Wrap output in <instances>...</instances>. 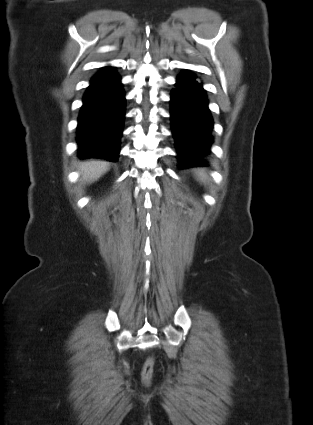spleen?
<instances>
[{
    "instance_id": "3e777b00",
    "label": "spleen",
    "mask_w": 313,
    "mask_h": 425,
    "mask_svg": "<svg viewBox=\"0 0 313 425\" xmlns=\"http://www.w3.org/2000/svg\"><path fill=\"white\" fill-rule=\"evenodd\" d=\"M197 176H198V180H200V181H205L206 180V178H207V174L205 173V171L204 170H200V171H198L197 172Z\"/></svg>"
}]
</instances>
